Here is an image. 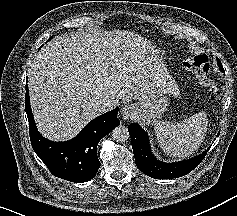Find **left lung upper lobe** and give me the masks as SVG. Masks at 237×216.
Listing matches in <instances>:
<instances>
[{"instance_id": "obj_1", "label": "left lung upper lobe", "mask_w": 237, "mask_h": 216, "mask_svg": "<svg viewBox=\"0 0 237 216\" xmlns=\"http://www.w3.org/2000/svg\"><path fill=\"white\" fill-rule=\"evenodd\" d=\"M217 61H218V66L220 67V70L222 71V72H224V69H223V67H222V64H221V62H220V60L217 58Z\"/></svg>"}]
</instances>
